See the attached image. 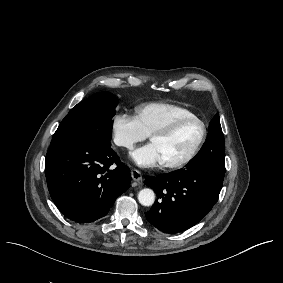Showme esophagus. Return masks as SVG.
<instances>
[{
    "label": "esophagus",
    "mask_w": 283,
    "mask_h": 283,
    "mask_svg": "<svg viewBox=\"0 0 283 283\" xmlns=\"http://www.w3.org/2000/svg\"><path fill=\"white\" fill-rule=\"evenodd\" d=\"M131 177L136 182H139L142 180V174L140 173V171L136 169L131 170Z\"/></svg>",
    "instance_id": "1"
}]
</instances>
